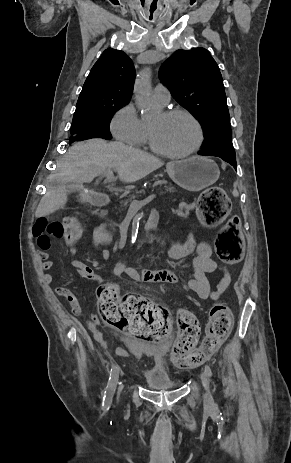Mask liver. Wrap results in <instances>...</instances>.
Instances as JSON below:
<instances>
[{
	"mask_svg": "<svg viewBox=\"0 0 291 463\" xmlns=\"http://www.w3.org/2000/svg\"><path fill=\"white\" fill-rule=\"evenodd\" d=\"M163 164L157 157L120 142L107 143L102 139H91L77 143L69 148L59 162L52 175L57 185L41 199L35 215L43 217L63 208L67 202V183L81 187L113 169L122 182L133 183Z\"/></svg>",
	"mask_w": 291,
	"mask_h": 463,
	"instance_id": "6515ba94",
	"label": "liver"
}]
</instances>
